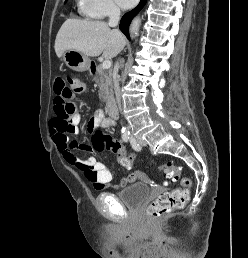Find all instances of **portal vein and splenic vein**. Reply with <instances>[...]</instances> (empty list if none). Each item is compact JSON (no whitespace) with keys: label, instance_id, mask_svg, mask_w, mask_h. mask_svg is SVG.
Instances as JSON below:
<instances>
[{"label":"portal vein and splenic vein","instance_id":"18ae733b","mask_svg":"<svg viewBox=\"0 0 248 258\" xmlns=\"http://www.w3.org/2000/svg\"><path fill=\"white\" fill-rule=\"evenodd\" d=\"M111 67V61L110 60H105L102 63V68L103 69H109Z\"/></svg>","mask_w":248,"mask_h":258}]
</instances>
